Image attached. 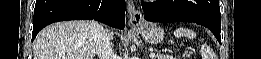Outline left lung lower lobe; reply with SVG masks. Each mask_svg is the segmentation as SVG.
Segmentation results:
<instances>
[{"instance_id": "obj_1", "label": "left lung lower lobe", "mask_w": 261, "mask_h": 59, "mask_svg": "<svg viewBox=\"0 0 261 59\" xmlns=\"http://www.w3.org/2000/svg\"><path fill=\"white\" fill-rule=\"evenodd\" d=\"M147 21L193 22L207 27L221 43L219 0H156L142 3Z\"/></svg>"}]
</instances>
